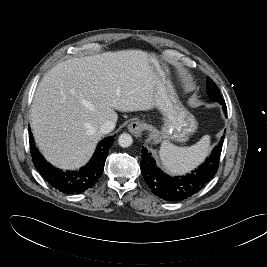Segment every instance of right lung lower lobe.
<instances>
[{
    "mask_svg": "<svg viewBox=\"0 0 267 267\" xmlns=\"http://www.w3.org/2000/svg\"><path fill=\"white\" fill-rule=\"evenodd\" d=\"M31 134V133H30ZM114 136L100 141L89 163L79 171H62L48 163L39 153L31 136V156L41 176L55 189L67 194H77L91 188L101 177L108 150Z\"/></svg>",
    "mask_w": 267,
    "mask_h": 267,
    "instance_id": "right-lung-lower-lobe-1",
    "label": "right lung lower lobe"
}]
</instances>
